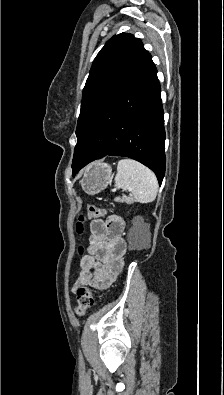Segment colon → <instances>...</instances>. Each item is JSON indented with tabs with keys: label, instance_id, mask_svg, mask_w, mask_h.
I'll use <instances>...</instances> for the list:
<instances>
[{
	"label": "colon",
	"instance_id": "5ec220e1",
	"mask_svg": "<svg viewBox=\"0 0 224 395\" xmlns=\"http://www.w3.org/2000/svg\"><path fill=\"white\" fill-rule=\"evenodd\" d=\"M106 215V211L96 207L94 205H88L86 207V213L80 216L79 222L76 225V231L81 234L84 230L83 221L86 217L88 218H100ZM94 292L86 285L80 286L77 290V305L75 307V313L78 316L86 314L87 310L94 305Z\"/></svg>",
	"mask_w": 224,
	"mask_h": 395
}]
</instances>
